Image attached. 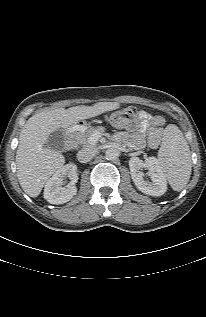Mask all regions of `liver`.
Listing matches in <instances>:
<instances>
[{"mask_svg":"<svg viewBox=\"0 0 206 317\" xmlns=\"http://www.w3.org/2000/svg\"><path fill=\"white\" fill-rule=\"evenodd\" d=\"M117 102H98L93 106L57 108L36 113L24 125L16 152L17 177L30 197H37L49 177L65 163L59 151L45 147L48 137L58 129L70 131L80 121L116 110Z\"/></svg>","mask_w":206,"mask_h":317,"instance_id":"liver-1","label":"liver"}]
</instances>
